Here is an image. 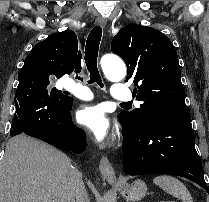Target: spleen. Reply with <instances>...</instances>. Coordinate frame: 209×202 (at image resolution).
<instances>
[{
  "mask_svg": "<svg viewBox=\"0 0 209 202\" xmlns=\"http://www.w3.org/2000/svg\"><path fill=\"white\" fill-rule=\"evenodd\" d=\"M153 183L162 188L166 193L176 197L182 202H193L192 196L186 186L177 178L169 175L156 176Z\"/></svg>",
  "mask_w": 209,
  "mask_h": 202,
  "instance_id": "spleen-1",
  "label": "spleen"
}]
</instances>
